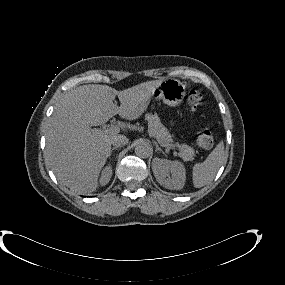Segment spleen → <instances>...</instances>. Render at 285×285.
<instances>
[{
	"instance_id": "3e777b00",
	"label": "spleen",
	"mask_w": 285,
	"mask_h": 285,
	"mask_svg": "<svg viewBox=\"0 0 285 285\" xmlns=\"http://www.w3.org/2000/svg\"><path fill=\"white\" fill-rule=\"evenodd\" d=\"M224 156V143L220 142L203 163L193 166L192 180L195 188H201L213 181L224 161Z\"/></svg>"
}]
</instances>
